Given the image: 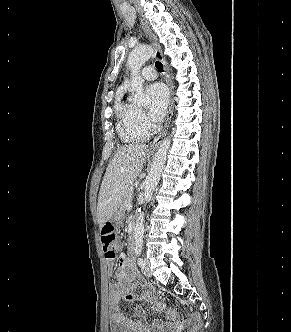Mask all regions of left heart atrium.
Returning <instances> with one entry per match:
<instances>
[{
	"mask_svg": "<svg viewBox=\"0 0 291 332\" xmlns=\"http://www.w3.org/2000/svg\"><path fill=\"white\" fill-rule=\"evenodd\" d=\"M150 99L149 117L153 122H160L167 111L169 95L166 87L161 83H154L147 88Z\"/></svg>",
	"mask_w": 291,
	"mask_h": 332,
	"instance_id": "left-heart-atrium-1",
	"label": "left heart atrium"
}]
</instances>
